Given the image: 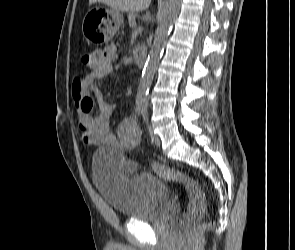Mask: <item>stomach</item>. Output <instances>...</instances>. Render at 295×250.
Segmentation results:
<instances>
[{"mask_svg": "<svg viewBox=\"0 0 295 250\" xmlns=\"http://www.w3.org/2000/svg\"><path fill=\"white\" fill-rule=\"evenodd\" d=\"M123 23V16L113 8L96 7L84 17L83 35L91 40V45H106Z\"/></svg>", "mask_w": 295, "mask_h": 250, "instance_id": "stomach-1", "label": "stomach"}]
</instances>
